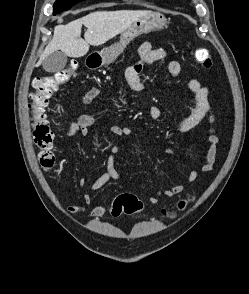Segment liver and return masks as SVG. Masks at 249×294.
Segmentation results:
<instances>
[{
    "mask_svg": "<svg viewBox=\"0 0 249 294\" xmlns=\"http://www.w3.org/2000/svg\"><path fill=\"white\" fill-rule=\"evenodd\" d=\"M149 12L142 10L96 11L67 25H57L54 28L52 40L46 46L36 66L41 65L47 56L58 50L69 57H82L87 54L90 45L99 46L106 43ZM82 25L87 28L84 39L81 38Z\"/></svg>",
    "mask_w": 249,
    "mask_h": 294,
    "instance_id": "6515ba94",
    "label": "liver"
}]
</instances>
